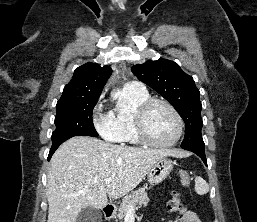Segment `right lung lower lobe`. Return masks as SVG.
Segmentation results:
<instances>
[{
	"label": "right lung lower lobe",
	"mask_w": 257,
	"mask_h": 222,
	"mask_svg": "<svg viewBox=\"0 0 257 222\" xmlns=\"http://www.w3.org/2000/svg\"><path fill=\"white\" fill-rule=\"evenodd\" d=\"M59 147L58 146H54V147H51V150L49 152V155H48V160H50L51 156L53 155V153L56 151V149Z\"/></svg>",
	"instance_id": "1"
}]
</instances>
